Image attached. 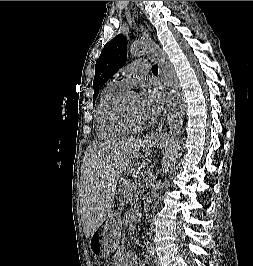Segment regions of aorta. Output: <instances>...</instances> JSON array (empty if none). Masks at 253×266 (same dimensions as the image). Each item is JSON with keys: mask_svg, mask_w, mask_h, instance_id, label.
Masks as SVG:
<instances>
[{"mask_svg": "<svg viewBox=\"0 0 253 266\" xmlns=\"http://www.w3.org/2000/svg\"><path fill=\"white\" fill-rule=\"evenodd\" d=\"M129 53L134 57L142 56L147 53H153L154 56L159 58L161 61L165 60L166 58V53L158 45H153L147 41H137L133 43L129 47ZM161 70L165 83L170 87V92L168 94L169 107L167 121L171 138L161 164V175H164V173H166L168 170V159L170 158L172 141L174 140V137L180 134L183 125L185 106L183 104V94L180 89L178 78L173 66L170 63L163 61ZM160 183L161 180L158 181V184Z\"/></svg>", "mask_w": 253, "mask_h": 266, "instance_id": "1", "label": "aorta"}]
</instances>
